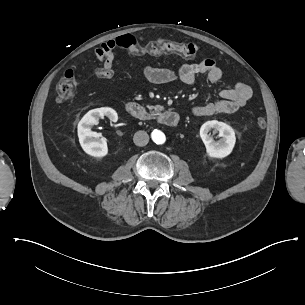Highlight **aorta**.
<instances>
[{"instance_id": "1", "label": "aorta", "mask_w": 305, "mask_h": 305, "mask_svg": "<svg viewBox=\"0 0 305 305\" xmlns=\"http://www.w3.org/2000/svg\"><path fill=\"white\" fill-rule=\"evenodd\" d=\"M152 139L156 144H163L166 140L165 134L159 130L152 133Z\"/></svg>"}]
</instances>
